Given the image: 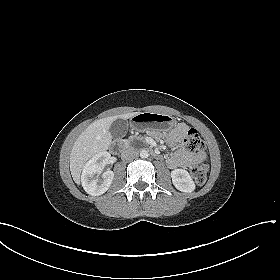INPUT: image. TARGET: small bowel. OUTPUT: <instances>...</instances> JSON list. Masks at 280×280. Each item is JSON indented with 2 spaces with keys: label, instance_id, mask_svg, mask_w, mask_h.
<instances>
[{
  "label": "small bowel",
  "instance_id": "small-bowel-1",
  "mask_svg": "<svg viewBox=\"0 0 280 280\" xmlns=\"http://www.w3.org/2000/svg\"><path fill=\"white\" fill-rule=\"evenodd\" d=\"M188 130V126L184 123L178 124L168 135V141L174 145L175 151L168 158L167 164L170 168L183 167L187 168L205 160L204 153H191L187 151L183 145V140Z\"/></svg>",
  "mask_w": 280,
  "mask_h": 280
}]
</instances>
